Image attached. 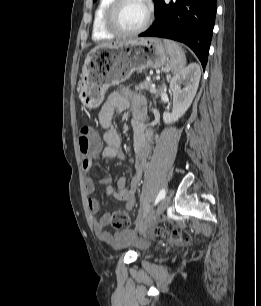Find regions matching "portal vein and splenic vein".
Segmentation results:
<instances>
[{
	"label": "portal vein and splenic vein",
	"mask_w": 261,
	"mask_h": 306,
	"mask_svg": "<svg viewBox=\"0 0 261 306\" xmlns=\"http://www.w3.org/2000/svg\"><path fill=\"white\" fill-rule=\"evenodd\" d=\"M152 87H155V85H154V84H152Z\"/></svg>",
	"instance_id": "18ae733b"
}]
</instances>
